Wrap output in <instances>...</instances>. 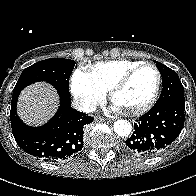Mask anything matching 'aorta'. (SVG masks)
Wrapping results in <instances>:
<instances>
[{"label":"aorta","mask_w":196,"mask_h":196,"mask_svg":"<svg viewBox=\"0 0 196 196\" xmlns=\"http://www.w3.org/2000/svg\"><path fill=\"white\" fill-rule=\"evenodd\" d=\"M114 131L121 137H127L132 131V125L127 120H117L114 123Z\"/></svg>","instance_id":"obj_1"}]
</instances>
